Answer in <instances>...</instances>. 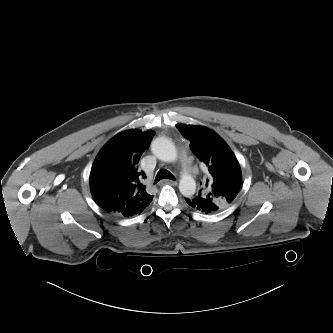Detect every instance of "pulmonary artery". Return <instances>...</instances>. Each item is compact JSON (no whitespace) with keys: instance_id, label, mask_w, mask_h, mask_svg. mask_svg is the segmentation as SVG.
I'll return each mask as SVG.
<instances>
[{"instance_id":"obj_1","label":"pulmonary artery","mask_w":333,"mask_h":333,"mask_svg":"<svg viewBox=\"0 0 333 333\" xmlns=\"http://www.w3.org/2000/svg\"><path fill=\"white\" fill-rule=\"evenodd\" d=\"M182 162H183V164H184L185 167H188L187 160H186V158L184 156L182 157Z\"/></svg>"}]
</instances>
